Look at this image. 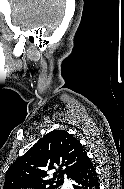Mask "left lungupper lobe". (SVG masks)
Instances as JSON below:
<instances>
[{"label": "left lung upper lobe", "mask_w": 124, "mask_h": 189, "mask_svg": "<svg viewBox=\"0 0 124 189\" xmlns=\"http://www.w3.org/2000/svg\"><path fill=\"white\" fill-rule=\"evenodd\" d=\"M87 158L73 135L65 130H53L13 162L6 172L3 189H58L63 175L72 178ZM47 170H56L53 178H48Z\"/></svg>", "instance_id": "obj_1"}]
</instances>
